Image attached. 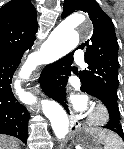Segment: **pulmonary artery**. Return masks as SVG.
I'll list each match as a JSON object with an SVG mask.
<instances>
[{
    "label": "pulmonary artery",
    "mask_w": 124,
    "mask_h": 149,
    "mask_svg": "<svg viewBox=\"0 0 124 149\" xmlns=\"http://www.w3.org/2000/svg\"><path fill=\"white\" fill-rule=\"evenodd\" d=\"M74 57H75V59H76L77 61H79V62H83V61H84L83 52H82L80 49H78V50L75 52Z\"/></svg>",
    "instance_id": "e3ab8cb5"
}]
</instances>
